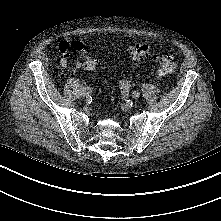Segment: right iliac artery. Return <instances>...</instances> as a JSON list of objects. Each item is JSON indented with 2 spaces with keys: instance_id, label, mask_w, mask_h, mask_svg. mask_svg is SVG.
<instances>
[{
  "instance_id": "right-iliac-artery-1",
  "label": "right iliac artery",
  "mask_w": 221,
  "mask_h": 221,
  "mask_svg": "<svg viewBox=\"0 0 221 221\" xmlns=\"http://www.w3.org/2000/svg\"><path fill=\"white\" fill-rule=\"evenodd\" d=\"M85 89H87V91H88V94L90 95V94H91V88H89V87H86Z\"/></svg>"
}]
</instances>
